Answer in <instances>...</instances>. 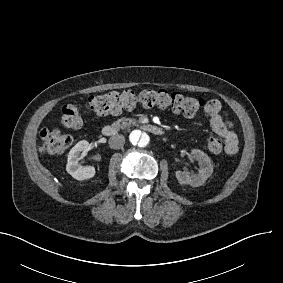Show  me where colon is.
Masks as SVG:
<instances>
[{
    "mask_svg": "<svg viewBox=\"0 0 283 283\" xmlns=\"http://www.w3.org/2000/svg\"><path fill=\"white\" fill-rule=\"evenodd\" d=\"M205 99L179 92L155 91L152 89L135 92L133 90H114L95 96L88 100L86 107L92 116L106 114L117 115L128 111L138 104L146 108H170L184 116L193 117L203 107ZM84 123L80 108L74 104L64 105L61 109L59 124L65 128L79 129ZM36 151L39 155L60 154L66 151L71 143L70 135L58 130H43L40 133ZM209 151L218 153L223 149L221 140L210 137L207 141Z\"/></svg>",
    "mask_w": 283,
    "mask_h": 283,
    "instance_id": "colon-1",
    "label": "colon"
}]
</instances>
